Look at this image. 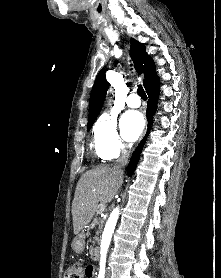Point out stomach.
<instances>
[{
    "label": "stomach",
    "instance_id": "obj_1",
    "mask_svg": "<svg viewBox=\"0 0 221 278\" xmlns=\"http://www.w3.org/2000/svg\"><path fill=\"white\" fill-rule=\"evenodd\" d=\"M71 247L75 253H82L84 250V239L82 236H77L73 240Z\"/></svg>",
    "mask_w": 221,
    "mask_h": 278
}]
</instances>
